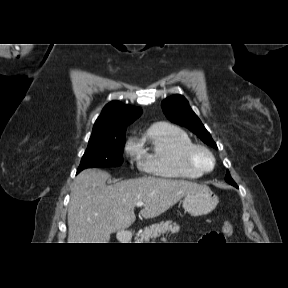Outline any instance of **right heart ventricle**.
<instances>
[{
    "instance_id": "1",
    "label": "right heart ventricle",
    "mask_w": 288,
    "mask_h": 288,
    "mask_svg": "<svg viewBox=\"0 0 288 288\" xmlns=\"http://www.w3.org/2000/svg\"><path fill=\"white\" fill-rule=\"evenodd\" d=\"M191 144L183 129L166 122L154 123L137 142L141 166L148 173L162 178L198 179L203 174L184 161V152Z\"/></svg>"
}]
</instances>
